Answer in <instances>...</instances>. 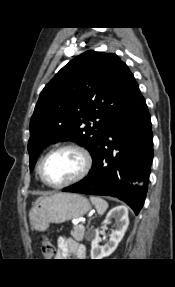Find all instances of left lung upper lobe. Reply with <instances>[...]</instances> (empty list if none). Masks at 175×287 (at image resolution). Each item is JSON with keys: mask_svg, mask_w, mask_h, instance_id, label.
Masks as SVG:
<instances>
[{"mask_svg": "<svg viewBox=\"0 0 175 287\" xmlns=\"http://www.w3.org/2000/svg\"><path fill=\"white\" fill-rule=\"evenodd\" d=\"M138 84L112 53L87 51L71 60L42 90L30 121V170L43 148L71 140L94 159L111 122L133 102Z\"/></svg>", "mask_w": 175, "mask_h": 287, "instance_id": "left-lung-upper-lobe-1", "label": "left lung upper lobe"}]
</instances>
